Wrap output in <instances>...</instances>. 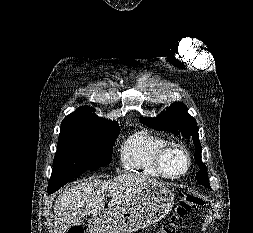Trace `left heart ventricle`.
Returning <instances> with one entry per match:
<instances>
[{"label": "left heart ventricle", "instance_id": "obj_1", "mask_svg": "<svg viewBox=\"0 0 253 233\" xmlns=\"http://www.w3.org/2000/svg\"><path fill=\"white\" fill-rule=\"evenodd\" d=\"M184 159L181 155H174L169 162V169L172 172H178L183 169Z\"/></svg>", "mask_w": 253, "mask_h": 233}]
</instances>
